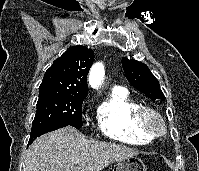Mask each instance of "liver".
<instances>
[{
    "label": "liver",
    "instance_id": "obj_1",
    "mask_svg": "<svg viewBox=\"0 0 199 171\" xmlns=\"http://www.w3.org/2000/svg\"><path fill=\"white\" fill-rule=\"evenodd\" d=\"M137 154L126 146L88 140L67 126L33 142L26 154L25 171H101Z\"/></svg>",
    "mask_w": 199,
    "mask_h": 171
}]
</instances>
